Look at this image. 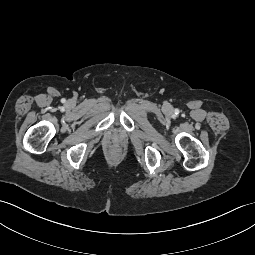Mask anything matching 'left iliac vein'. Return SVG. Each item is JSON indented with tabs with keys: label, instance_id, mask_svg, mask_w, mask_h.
<instances>
[{
	"label": "left iliac vein",
	"instance_id": "4c4485c4",
	"mask_svg": "<svg viewBox=\"0 0 255 255\" xmlns=\"http://www.w3.org/2000/svg\"><path fill=\"white\" fill-rule=\"evenodd\" d=\"M171 108H170V106H167V110H170Z\"/></svg>",
	"mask_w": 255,
	"mask_h": 255
}]
</instances>
